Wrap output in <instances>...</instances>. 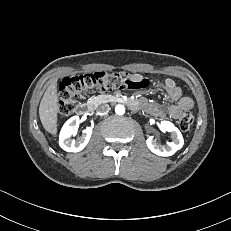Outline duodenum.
<instances>
[{"instance_id":"410a0bca","label":"duodenum","mask_w":231,"mask_h":231,"mask_svg":"<svg viewBox=\"0 0 231 231\" xmlns=\"http://www.w3.org/2000/svg\"><path fill=\"white\" fill-rule=\"evenodd\" d=\"M116 99L118 101H121V102H123V101L126 102L132 108H137V104L133 100H130V99L124 100L121 97H117ZM91 111H92V106L90 104H81V105L76 107V114L79 116L86 115Z\"/></svg>"}]
</instances>
